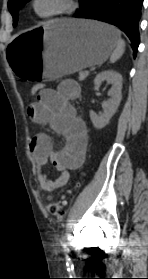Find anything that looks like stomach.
<instances>
[{
  "instance_id": "1",
  "label": "stomach",
  "mask_w": 148,
  "mask_h": 279,
  "mask_svg": "<svg viewBox=\"0 0 148 279\" xmlns=\"http://www.w3.org/2000/svg\"><path fill=\"white\" fill-rule=\"evenodd\" d=\"M118 39V30L104 23L55 20L18 34L7 44V59L16 82H55L105 62Z\"/></svg>"
}]
</instances>
